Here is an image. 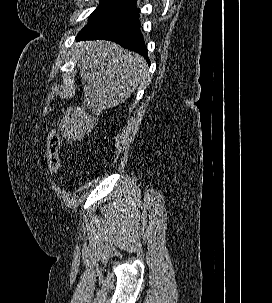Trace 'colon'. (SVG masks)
I'll use <instances>...</instances> for the list:
<instances>
[{"mask_svg": "<svg viewBox=\"0 0 272 303\" xmlns=\"http://www.w3.org/2000/svg\"><path fill=\"white\" fill-rule=\"evenodd\" d=\"M59 147L58 134L55 131L50 132L47 141V167L51 174H57L60 169Z\"/></svg>", "mask_w": 272, "mask_h": 303, "instance_id": "5ec220e1", "label": "colon"}]
</instances>
